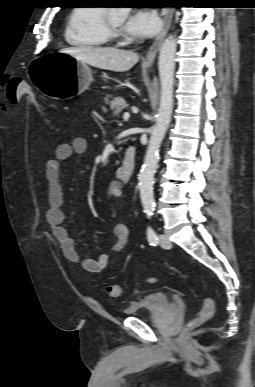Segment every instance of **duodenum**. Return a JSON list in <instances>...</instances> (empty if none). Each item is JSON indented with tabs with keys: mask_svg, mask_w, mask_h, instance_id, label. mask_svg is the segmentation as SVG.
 <instances>
[{
	"mask_svg": "<svg viewBox=\"0 0 255 387\" xmlns=\"http://www.w3.org/2000/svg\"><path fill=\"white\" fill-rule=\"evenodd\" d=\"M136 167V148L133 145L128 146L122 164L117 168V177L122 182H129L133 176Z\"/></svg>",
	"mask_w": 255,
	"mask_h": 387,
	"instance_id": "obj_1",
	"label": "duodenum"
}]
</instances>
